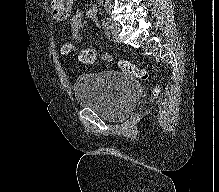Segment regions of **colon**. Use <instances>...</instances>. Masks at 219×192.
Returning <instances> with one entry per match:
<instances>
[{
    "label": "colon",
    "mask_w": 219,
    "mask_h": 192,
    "mask_svg": "<svg viewBox=\"0 0 219 192\" xmlns=\"http://www.w3.org/2000/svg\"><path fill=\"white\" fill-rule=\"evenodd\" d=\"M73 49H74L73 44L67 43L63 46L62 51L64 53H70ZM96 58H97V53L93 46L85 47L81 51L79 56L80 61L85 64L94 63ZM107 60H109V58ZM117 65L124 73L134 76L139 80H147L150 76L148 70L139 68L127 60L119 59L117 60ZM160 93H161V87L156 86L152 91V97L156 98L160 95Z\"/></svg>",
    "instance_id": "obj_1"
}]
</instances>
